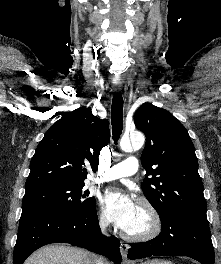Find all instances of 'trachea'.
<instances>
[{
	"instance_id": "trachea-1",
	"label": "trachea",
	"mask_w": 221,
	"mask_h": 264,
	"mask_svg": "<svg viewBox=\"0 0 221 264\" xmlns=\"http://www.w3.org/2000/svg\"><path fill=\"white\" fill-rule=\"evenodd\" d=\"M111 124L113 140L115 144H117L123 130V98L119 93H116L113 97L111 106Z\"/></svg>"
}]
</instances>
